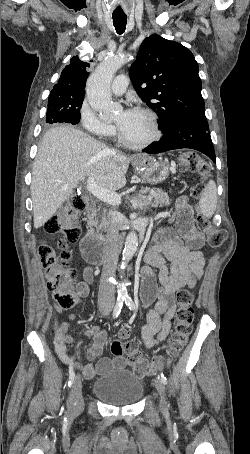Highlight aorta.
Returning a JSON list of instances; mask_svg holds the SVG:
<instances>
[{
  "label": "aorta",
  "mask_w": 250,
  "mask_h": 454,
  "mask_svg": "<svg viewBox=\"0 0 250 454\" xmlns=\"http://www.w3.org/2000/svg\"><path fill=\"white\" fill-rule=\"evenodd\" d=\"M127 56L123 54L108 56L101 62L89 76L86 84V95L90 106L98 111L102 117H112L120 109V106L112 101L110 84L112 79L124 63ZM138 236L135 231L128 233L123 250L121 268L124 269L137 251ZM118 300L127 297L126 288L119 284L117 287Z\"/></svg>",
  "instance_id": "762f6f07"
}]
</instances>
